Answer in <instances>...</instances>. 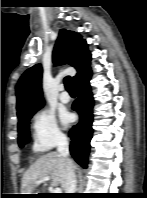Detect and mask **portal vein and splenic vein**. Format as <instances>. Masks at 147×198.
<instances>
[{
	"label": "portal vein and splenic vein",
	"instance_id": "obj_1",
	"mask_svg": "<svg viewBox=\"0 0 147 198\" xmlns=\"http://www.w3.org/2000/svg\"><path fill=\"white\" fill-rule=\"evenodd\" d=\"M50 180V177H44L42 178L41 180L39 181H36V184L39 185L45 181H49ZM53 193H62V189L59 188V187H56L54 190H53Z\"/></svg>",
	"mask_w": 147,
	"mask_h": 198
}]
</instances>
